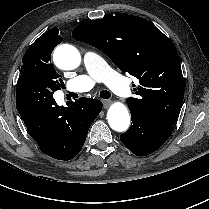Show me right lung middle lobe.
<instances>
[{
    "mask_svg": "<svg viewBox=\"0 0 209 209\" xmlns=\"http://www.w3.org/2000/svg\"><path fill=\"white\" fill-rule=\"evenodd\" d=\"M56 43L51 39H37L22 59L19 81H27L54 93L64 86L51 63V53Z\"/></svg>",
    "mask_w": 209,
    "mask_h": 209,
    "instance_id": "right-lung-middle-lobe-1",
    "label": "right lung middle lobe"
}]
</instances>
